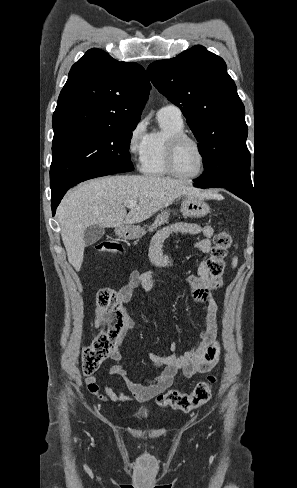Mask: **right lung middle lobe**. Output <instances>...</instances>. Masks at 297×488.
<instances>
[{
    "label": "right lung middle lobe",
    "mask_w": 297,
    "mask_h": 488,
    "mask_svg": "<svg viewBox=\"0 0 297 488\" xmlns=\"http://www.w3.org/2000/svg\"><path fill=\"white\" fill-rule=\"evenodd\" d=\"M135 127L83 128L54 135L52 198L92 176L132 171L129 146Z\"/></svg>",
    "instance_id": "obj_1"
}]
</instances>
